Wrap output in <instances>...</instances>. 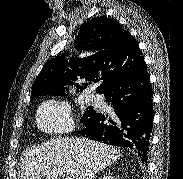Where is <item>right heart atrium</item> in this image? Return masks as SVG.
Returning a JSON list of instances; mask_svg holds the SVG:
<instances>
[{"label":"right heart atrium","mask_w":183,"mask_h":179,"mask_svg":"<svg viewBox=\"0 0 183 179\" xmlns=\"http://www.w3.org/2000/svg\"><path fill=\"white\" fill-rule=\"evenodd\" d=\"M37 124L48 133L60 134L70 131L73 122L69 104L56 100L43 103L37 111Z\"/></svg>","instance_id":"d8ad5b80"}]
</instances>
